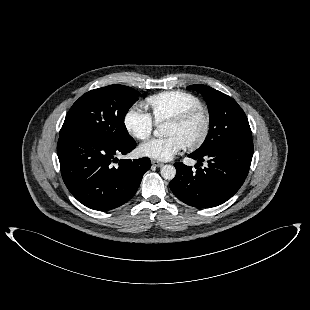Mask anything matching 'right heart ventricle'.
<instances>
[{
    "mask_svg": "<svg viewBox=\"0 0 310 310\" xmlns=\"http://www.w3.org/2000/svg\"><path fill=\"white\" fill-rule=\"evenodd\" d=\"M151 117L156 123H163L177 114L201 106L200 99L192 93L182 90H170L151 95L146 98Z\"/></svg>",
    "mask_w": 310,
    "mask_h": 310,
    "instance_id": "obj_1",
    "label": "right heart ventricle"
}]
</instances>
